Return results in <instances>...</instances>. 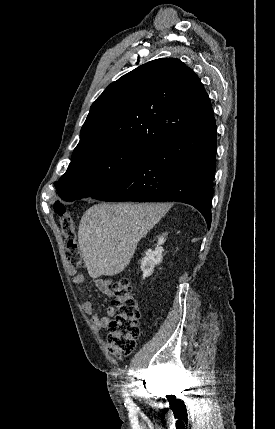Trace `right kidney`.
Masks as SVG:
<instances>
[{
    "label": "right kidney",
    "mask_w": 275,
    "mask_h": 429,
    "mask_svg": "<svg viewBox=\"0 0 275 429\" xmlns=\"http://www.w3.org/2000/svg\"><path fill=\"white\" fill-rule=\"evenodd\" d=\"M165 237L164 236H160L158 238V243L157 246L155 247L154 250H147V252L145 253V256L142 258L141 261V270L143 271V279H145L146 277H149L152 275L153 271H154V267L161 263L162 258H163V247L161 246L164 242H165Z\"/></svg>",
    "instance_id": "right-kidney-1"
}]
</instances>
